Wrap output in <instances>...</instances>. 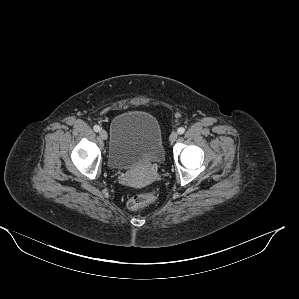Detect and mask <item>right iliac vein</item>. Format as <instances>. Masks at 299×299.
Instances as JSON below:
<instances>
[{"instance_id": "right-iliac-vein-1", "label": "right iliac vein", "mask_w": 299, "mask_h": 299, "mask_svg": "<svg viewBox=\"0 0 299 299\" xmlns=\"http://www.w3.org/2000/svg\"><path fill=\"white\" fill-rule=\"evenodd\" d=\"M99 135L103 140L108 138L107 132L105 130H100Z\"/></svg>"}]
</instances>
